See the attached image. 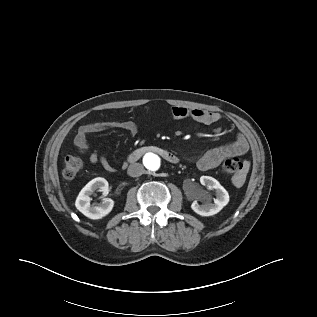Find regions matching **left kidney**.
I'll return each mask as SVG.
<instances>
[{"instance_id": "5707ae66", "label": "left kidney", "mask_w": 317, "mask_h": 317, "mask_svg": "<svg viewBox=\"0 0 317 317\" xmlns=\"http://www.w3.org/2000/svg\"><path fill=\"white\" fill-rule=\"evenodd\" d=\"M200 182L203 186H206L209 190L214 189L216 192V198L212 203L205 193L201 194L198 199L206 200L202 205H199L197 200L193 201L192 210L201 216H212L217 214L226 206L229 202V194L221 184L210 176H201Z\"/></svg>"}]
</instances>
